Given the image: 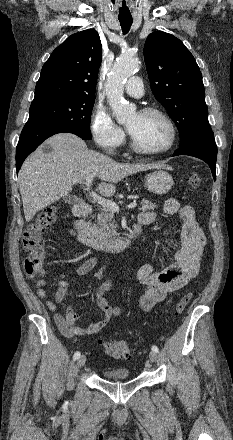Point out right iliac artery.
Returning <instances> with one entry per match:
<instances>
[{"label": "right iliac artery", "mask_w": 233, "mask_h": 440, "mask_svg": "<svg viewBox=\"0 0 233 440\" xmlns=\"http://www.w3.org/2000/svg\"><path fill=\"white\" fill-rule=\"evenodd\" d=\"M79 357H80V352L79 351L75 352L73 356L74 360H77Z\"/></svg>", "instance_id": "obj_1"}]
</instances>
